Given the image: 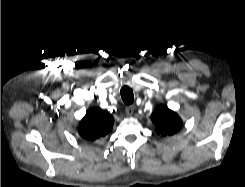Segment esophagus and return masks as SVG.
Wrapping results in <instances>:
<instances>
[{"mask_svg": "<svg viewBox=\"0 0 245 187\" xmlns=\"http://www.w3.org/2000/svg\"><path fill=\"white\" fill-rule=\"evenodd\" d=\"M134 106L133 105H130V106H127L125 111L127 113V115L131 116L133 113H134Z\"/></svg>", "mask_w": 245, "mask_h": 187, "instance_id": "esophagus-1", "label": "esophagus"}]
</instances>
